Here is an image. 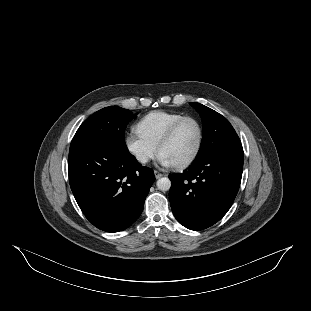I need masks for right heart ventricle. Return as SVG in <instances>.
<instances>
[{
    "mask_svg": "<svg viewBox=\"0 0 311 311\" xmlns=\"http://www.w3.org/2000/svg\"><path fill=\"white\" fill-rule=\"evenodd\" d=\"M183 116L182 113L150 112L136 122L135 129L144 141L157 148L162 137Z\"/></svg>",
    "mask_w": 311,
    "mask_h": 311,
    "instance_id": "e07e8e85",
    "label": "right heart ventricle"
}]
</instances>
